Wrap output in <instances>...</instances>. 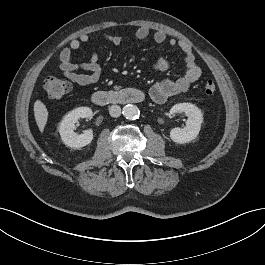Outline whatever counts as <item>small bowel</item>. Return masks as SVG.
<instances>
[{
	"mask_svg": "<svg viewBox=\"0 0 265 265\" xmlns=\"http://www.w3.org/2000/svg\"><path fill=\"white\" fill-rule=\"evenodd\" d=\"M149 35L150 30L146 26H141L135 32L134 40H144L149 37ZM100 37L113 45H120L123 42V37L121 35L102 33ZM153 39L157 43L167 42L172 48L178 47L182 52L186 67L185 73L178 79L163 80L156 83L151 88L150 96L152 100L158 104H163L171 97L186 93L191 85L200 79L202 70L196 63L192 47L188 42L169 38L163 31H156L153 34ZM90 40V35L83 34L79 38L71 40L69 45L60 53V69L63 76L71 82L81 86L95 84L99 81L102 74L97 50H93L86 61H72L73 52ZM153 68L157 71L164 72L168 70L169 62L165 58H160L154 63Z\"/></svg>",
	"mask_w": 265,
	"mask_h": 265,
	"instance_id": "1",
	"label": "small bowel"
}]
</instances>
